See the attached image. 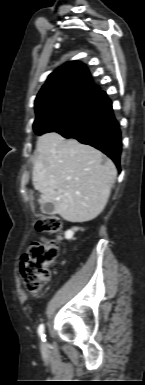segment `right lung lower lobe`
<instances>
[{"label":"right lung lower lobe","instance_id":"right-lung-lower-lobe-1","mask_svg":"<svg viewBox=\"0 0 145 385\" xmlns=\"http://www.w3.org/2000/svg\"><path fill=\"white\" fill-rule=\"evenodd\" d=\"M56 132L99 149L120 169L121 132L113 114L112 102L105 92L87 110Z\"/></svg>","mask_w":145,"mask_h":385}]
</instances>
